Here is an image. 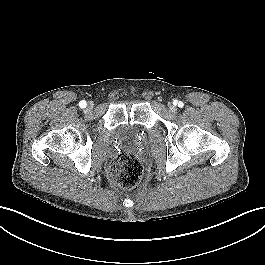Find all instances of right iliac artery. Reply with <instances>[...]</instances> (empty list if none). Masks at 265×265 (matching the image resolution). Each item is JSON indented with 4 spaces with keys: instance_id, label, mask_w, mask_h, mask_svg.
Segmentation results:
<instances>
[{
    "instance_id": "right-iliac-artery-1",
    "label": "right iliac artery",
    "mask_w": 265,
    "mask_h": 265,
    "mask_svg": "<svg viewBox=\"0 0 265 265\" xmlns=\"http://www.w3.org/2000/svg\"><path fill=\"white\" fill-rule=\"evenodd\" d=\"M86 105H87V103H86V101H84V100H82V101L79 102V106H80L81 108H85Z\"/></svg>"
}]
</instances>
